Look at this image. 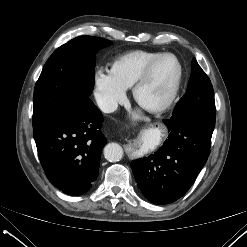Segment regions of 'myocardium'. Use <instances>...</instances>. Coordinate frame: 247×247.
<instances>
[{"mask_svg":"<svg viewBox=\"0 0 247 247\" xmlns=\"http://www.w3.org/2000/svg\"><path fill=\"white\" fill-rule=\"evenodd\" d=\"M173 58L176 62L177 65V74L173 83V86L169 92V94L167 95V97L155 104H148L145 103L140 96V92L142 87L146 84V82L148 81L154 67L164 58ZM182 66L181 63L179 61V59L177 58L176 55L172 54V53H162L160 55H158L156 58H154L151 62L148 63V65L144 68V70L141 72V74L139 75V77L137 78V80L135 81V83L132 86V95L134 100L136 101V103L142 107L143 109L152 112V113H159V112H163L167 109H169L172 104L174 103L179 89H180V85H181V80H182Z\"/></svg>","mask_w":247,"mask_h":247,"instance_id":"f54148a6","label":"myocardium"}]
</instances>
